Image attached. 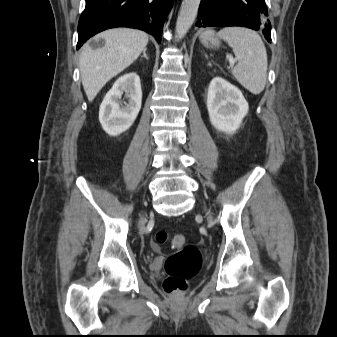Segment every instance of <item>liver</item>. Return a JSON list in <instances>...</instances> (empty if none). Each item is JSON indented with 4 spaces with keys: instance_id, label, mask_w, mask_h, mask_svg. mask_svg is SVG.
<instances>
[{
    "instance_id": "1",
    "label": "liver",
    "mask_w": 337,
    "mask_h": 337,
    "mask_svg": "<svg viewBox=\"0 0 337 337\" xmlns=\"http://www.w3.org/2000/svg\"><path fill=\"white\" fill-rule=\"evenodd\" d=\"M104 39L103 47L92 49L89 43L82 48L79 68L82 85L90 102L114 76L130 66L146 49L147 33L129 28L106 30L94 40Z\"/></svg>"
}]
</instances>
